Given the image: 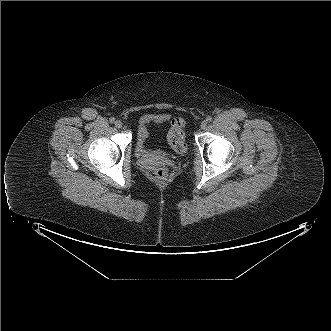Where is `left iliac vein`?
Returning a JSON list of instances; mask_svg holds the SVG:
<instances>
[{"mask_svg": "<svg viewBox=\"0 0 331 331\" xmlns=\"http://www.w3.org/2000/svg\"><path fill=\"white\" fill-rule=\"evenodd\" d=\"M207 126V122L206 121H202L201 124H200V128L203 130L205 129Z\"/></svg>", "mask_w": 331, "mask_h": 331, "instance_id": "1", "label": "left iliac vein"}]
</instances>
